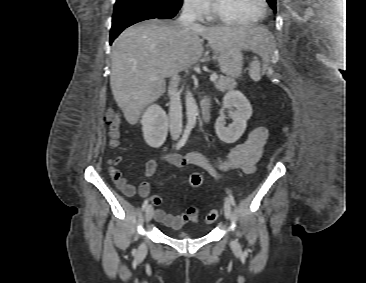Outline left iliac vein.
<instances>
[{
  "mask_svg": "<svg viewBox=\"0 0 366 283\" xmlns=\"http://www.w3.org/2000/svg\"><path fill=\"white\" fill-rule=\"evenodd\" d=\"M224 214L226 216L227 219H231L232 218V210H231V205H230V202L229 200L225 199V202H224ZM231 246L235 249L238 248V242L236 240H232L231 241Z\"/></svg>",
  "mask_w": 366,
  "mask_h": 283,
  "instance_id": "obj_1",
  "label": "left iliac vein"
}]
</instances>
